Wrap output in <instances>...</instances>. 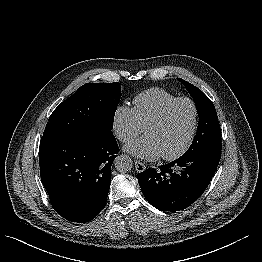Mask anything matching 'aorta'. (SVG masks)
<instances>
[{
  "label": "aorta",
  "mask_w": 262,
  "mask_h": 262,
  "mask_svg": "<svg viewBox=\"0 0 262 262\" xmlns=\"http://www.w3.org/2000/svg\"><path fill=\"white\" fill-rule=\"evenodd\" d=\"M132 164V159L125 154L119 155L114 161L116 170L121 173L130 171L132 169Z\"/></svg>",
  "instance_id": "762f6f07"
}]
</instances>
